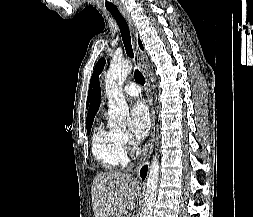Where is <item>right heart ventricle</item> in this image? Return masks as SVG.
<instances>
[{
  "instance_id": "obj_1",
  "label": "right heart ventricle",
  "mask_w": 253,
  "mask_h": 217,
  "mask_svg": "<svg viewBox=\"0 0 253 217\" xmlns=\"http://www.w3.org/2000/svg\"><path fill=\"white\" fill-rule=\"evenodd\" d=\"M92 153L102 167L109 170L126 167L129 162L118 131L102 124L93 131Z\"/></svg>"
}]
</instances>
